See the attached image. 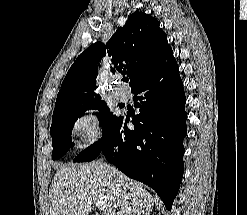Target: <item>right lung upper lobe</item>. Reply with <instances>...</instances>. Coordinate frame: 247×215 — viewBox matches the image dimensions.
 Masks as SVG:
<instances>
[{
  "label": "right lung upper lobe",
  "instance_id": "obj_1",
  "mask_svg": "<svg viewBox=\"0 0 247 215\" xmlns=\"http://www.w3.org/2000/svg\"><path fill=\"white\" fill-rule=\"evenodd\" d=\"M169 50L167 36L157 19L143 12L131 14L106 45L96 42L77 57L62 82L54 113L99 96L94 92L97 68L106 53L112 57V72L127 73L132 89Z\"/></svg>",
  "mask_w": 247,
  "mask_h": 215
}]
</instances>
